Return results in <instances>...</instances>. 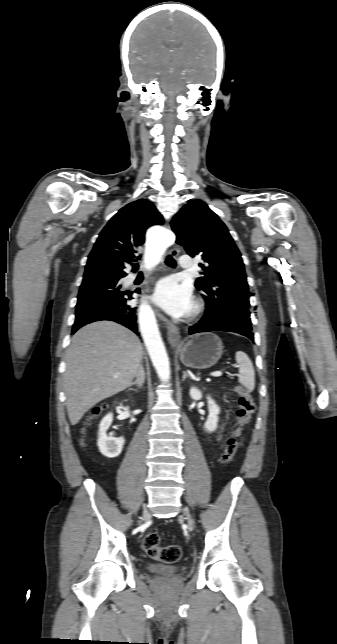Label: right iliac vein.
Returning <instances> with one entry per match:
<instances>
[{
	"label": "right iliac vein",
	"instance_id": "right-iliac-vein-1",
	"mask_svg": "<svg viewBox=\"0 0 337 644\" xmlns=\"http://www.w3.org/2000/svg\"><path fill=\"white\" fill-rule=\"evenodd\" d=\"M149 512L147 510L144 511V516H148Z\"/></svg>",
	"mask_w": 337,
	"mask_h": 644
}]
</instances>
